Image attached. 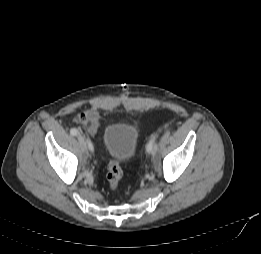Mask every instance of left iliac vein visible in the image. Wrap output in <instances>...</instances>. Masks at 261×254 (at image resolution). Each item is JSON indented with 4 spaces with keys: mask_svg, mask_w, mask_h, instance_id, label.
I'll return each mask as SVG.
<instances>
[{
    "mask_svg": "<svg viewBox=\"0 0 261 254\" xmlns=\"http://www.w3.org/2000/svg\"><path fill=\"white\" fill-rule=\"evenodd\" d=\"M156 152H157V145L155 144V145L153 146V149H152V151H151V154H152V155H155Z\"/></svg>",
    "mask_w": 261,
    "mask_h": 254,
    "instance_id": "1",
    "label": "left iliac vein"
}]
</instances>
